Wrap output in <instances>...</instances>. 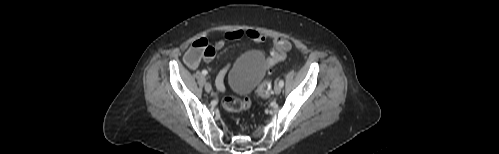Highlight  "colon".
I'll list each match as a JSON object with an SVG mask.
<instances>
[{"label":"colon","instance_id":"obj_1","mask_svg":"<svg viewBox=\"0 0 499 154\" xmlns=\"http://www.w3.org/2000/svg\"><path fill=\"white\" fill-rule=\"evenodd\" d=\"M291 44L283 38L274 39V49L271 58L269 59V66L285 59L287 52L290 50ZM215 54V49L210 46L207 40L200 38L195 40L187 54L186 60L189 65L198 63L201 59H211ZM257 94L267 99L271 94V85L269 82H263L257 88ZM222 108L229 112L246 111L251 108L252 102L249 98H236L233 96L225 97L222 101Z\"/></svg>","mask_w":499,"mask_h":154}]
</instances>
